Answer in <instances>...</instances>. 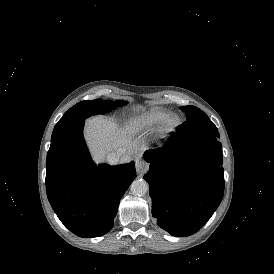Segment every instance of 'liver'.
I'll return each instance as SVG.
<instances>
[{
	"instance_id": "6515ba94",
	"label": "liver",
	"mask_w": 274,
	"mask_h": 274,
	"mask_svg": "<svg viewBox=\"0 0 274 274\" xmlns=\"http://www.w3.org/2000/svg\"><path fill=\"white\" fill-rule=\"evenodd\" d=\"M130 129L129 125L119 128L112 118L104 116L88 119L85 126V138L95 162L103 161L106 155L112 152L120 154V162H128L133 151L140 150L138 157H141L144 147L138 149L136 143L131 141Z\"/></svg>"
}]
</instances>
